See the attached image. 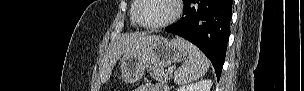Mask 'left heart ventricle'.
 <instances>
[{"label":"left heart ventricle","mask_w":304,"mask_h":91,"mask_svg":"<svg viewBox=\"0 0 304 91\" xmlns=\"http://www.w3.org/2000/svg\"><path fill=\"white\" fill-rule=\"evenodd\" d=\"M173 13V6L169 0H143L139 12L140 19L145 24H156L164 21Z\"/></svg>","instance_id":"1"}]
</instances>
